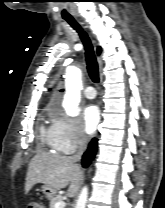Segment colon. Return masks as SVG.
<instances>
[{
  "label": "colon",
  "instance_id": "obj_1",
  "mask_svg": "<svg viewBox=\"0 0 165 208\" xmlns=\"http://www.w3.org/2000/svg\"><path fill=\"white\" fill-rule=\"evenodd\" d=\"M27 208H43L39 202L33 201L30 202Z\"/></svg>",
  "mask_w": 165,
  "mask_h": 208
}]
</instances>
